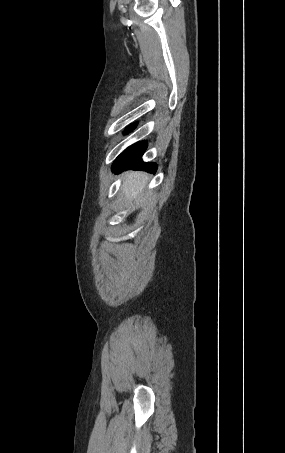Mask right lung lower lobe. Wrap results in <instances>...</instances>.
<instances>
[{
	"label": "right lung lower lobe",
	"instance_id": "right-lung-lower-lobe-1",
	"mask_svg": "<svg viewBox=\"0 0 285 453\" xmlns=\"http://www.w3.org/2000/svg\"><path fill=\"white\" fill-rule=\"evenodd\" d=\"M135 126H130L127 131H131ZM147 148L145 141L135 143L123 151L115 160L112 170L114 173H120L127 169L143 170L155 173L157 166L154 163H144L141 157Z\"/></svg>",
	"mask_w": 285,
	"mask_h": 453
}]
</instances>
